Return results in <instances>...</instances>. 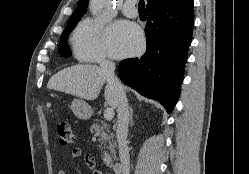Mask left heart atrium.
Instances as JSON below:
<instances>
[{
    "mask_svg": "<svg viewBox=\"0 0 249 174\" xmlns=\"http://www.w3.org/2000/svg\"><path fill=\"white\" fill-rule=\"evenodd\" d=\"M105 43L112 57L121 58L138 53L143 45V36L136 25L121 20L108 28Z\"/></svg>",
    "mask_w": 249,
    "mask_h": 174,
    "instance_id": "39dd6f15",
    "label": "left heart atrium"
}]
</instances>
